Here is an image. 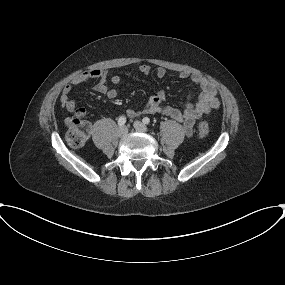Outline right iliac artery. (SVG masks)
I'll return each mask as SVG.
<instances>
[{
	"instance_id": "1",
	"label": "right iliac artery",
	"mask_w": 285,
	"mask_h": 285,
	"mask_svg": "<svg viewBox=\"0 0 285 285\" xmlns=\"http://www.w3.org/2000/svg\"><path fill=\"white\" fill-rule=\"evenodd\" d=\"M126 123V117L125 116H121L118 119V125L119 126H123Z\"/></svg>"
}]
</instances>
